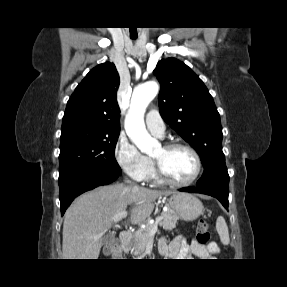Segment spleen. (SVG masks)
<instances>
[{
    "label": "spleen",
    "instance_id": "3e777b00",
    "mask_svg": "<svg viewBox=\"0 0 287 287\" xmlns=\"http://www.w3.org/2000/svg\"><path fill=\"white\" fill-rule=\"evenodd\" d=\"M216 230L220 236V240L224 245H228L230 242L229 238V231H228V226L225 222V219L220 216L217 218L216 221Z\"/></svg>",
    "mask_w": 287,
    "mask_h": 287
}]
</instances>
